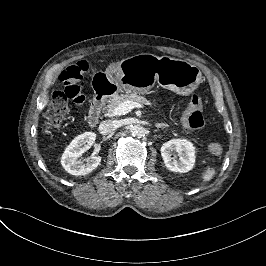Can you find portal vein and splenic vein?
<instances>
[{
	"label": "portal vein and splenic vein",
	"mask_w": 266,
	"mask_h": 266,
	"mask_svg": "<svg viewBox=\"0 0 266 266\" xmlns=\"http://www.w3.org/2000/svg\"><path fill=\"white\" fill-rule=\"evenodd\" d=\"M135 108L145 110L146 106L141 103H135L133 101L125 100L111 109V115L114 117L123 116L131 112Z\"/></svg>",
	"instance_id": "18ae733b"
}]
</instances>
